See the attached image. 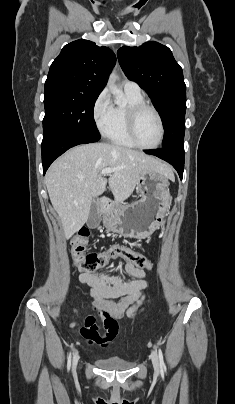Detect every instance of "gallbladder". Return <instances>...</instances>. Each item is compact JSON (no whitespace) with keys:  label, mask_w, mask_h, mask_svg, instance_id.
I'll return each mask as SVG.
<instances>
[{"label":"gallbladder","mask_w":235,"mask_h":404,"mask_svg":"<svg viewBox=\"0 0 235 404\" xmlns=\"http://www.w3.org/2000/svg\"><path fill=\"white\" fill-rule=\"evenodd\" d=\"M100 224V214L97 209V203L95 201L92 202L89 217L87 220V226L89 228H96Z\"/></svg>","instance_id":"gallbladder-1"}]
</instances>
